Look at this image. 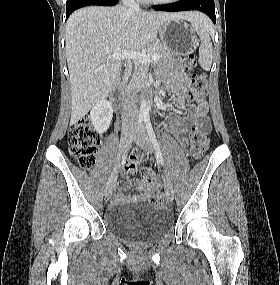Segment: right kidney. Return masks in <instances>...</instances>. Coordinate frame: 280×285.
Segmentation results:
<instances>
[{"label":"right kidney","mask_w":280,"mask_h":285,"mask_svg":"<svg viewBox=\"0 0 280 285\" xmlns=\"http://www.w3.org/2000/svg\"><path fill=\"white\" fill-rule=\"evenodd\" d=\"M112 117V105L105 99L96 102L90 112V121L99 133H103L109 128Z\"/></svg>","instance_id":"ca27d5eb"}]
</instances>
